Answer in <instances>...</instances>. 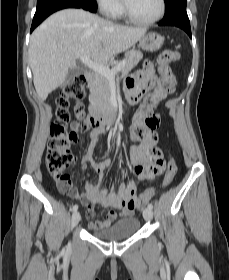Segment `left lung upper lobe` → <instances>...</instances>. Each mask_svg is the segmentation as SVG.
I'll return each mask as SVG.
<instances>
[{
	"label": "left lung upper lobe",
	"mask_w": 229,
	"mask_h": 280,
	"mask_svg": "<svg viewBox=\"0 0 229 280\" xmlns=\"http://www.w3.org/2000/svg\"><path fill=\"white\" fill-rule=\"evenodd\" d=\"M165 3V16H169L181 9L186 10V0H165Z\"/></svg>",
	"instance_id": "5c2ea615"
}]
</instances>
